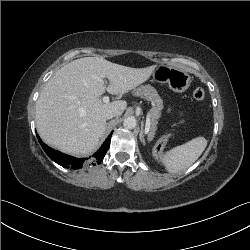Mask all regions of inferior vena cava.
I'll return each instance as SVG.
<instances>
[{
  "instance_id": "obj_1",
  "label": "inferior vena cava",
  "mask_w": 250,
  "mask_h": 250,
  "mask_svg": "<svg viewBox=\"0 0 250 250\" xmlns=\"http://www.w3.org/2000/svg\"><path fill=\"white\" fill-rule=\"evenodd\" d=\"M119 115H120V111H118V110H110L106 114V119H111V118L119 116Z\"/></svg>"
}]
</instances>
